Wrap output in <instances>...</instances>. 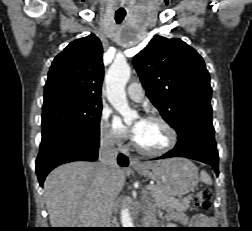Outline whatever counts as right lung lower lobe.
Wrapping results in <instances>:
<instances>
[{"mask_svg": "<svg viewBox=\"0 0 252 231\" xmlns=\"http://www.w3.org/2000/svg\"><path fill=\"white\" fill-rule=\"evenodd\" d=\"M99 136L75 132H59L42 139L36 160V173L40 185L55 167L72 161H96ZM118 164L128 166V158L118 156Z\"/></svg>", "mask_w": 252, "mask_h": 231, "instance_id": "1", "label": "right lung lower lobe"}]
</instances>
